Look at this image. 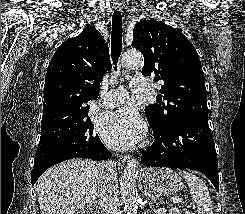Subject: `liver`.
Segmentation results:
<instances>
[{"label": "liver", "mask_w": 245, "mask_h": 214, "mask_svg": "<svg viewBox=\"0 0 245 214\" xmlns=\"http://www.w3.org/2000/svg\"><path fill=\"white\" fill-rule=\"evenodd\" d=\"M102 164L74 159L45 171L37 181L41 214H75L99 197Z\"/></svg>", "instance_id": "1"}]
</instances>
